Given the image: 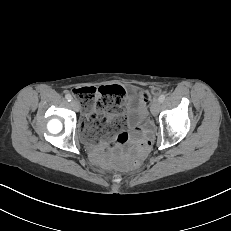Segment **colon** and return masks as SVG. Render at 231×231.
<instances>
[{"label": "colon", "mask_w": 231, "mask_h": 231, "mask_svg": "<svg viewBox=\"0 0 231 231\" xmlns=\"http://www.w3.org/2000/svg\"><path fill=\"white\" fill-rule=\"evenodd\" d=\"M73 93L79 99L83 109L91 110L97 108L108 112L110 110L117 111L122 108L125 100V90L118 85H110L95 88H77L73 90ZM144 99L147 105L151 102V95L144 94ZM91 123L115 136L118 141H125L128 138V132L126 131L127 119L125 115L121 113H113L108 116H99L94 113L90 115ZM131 169H138L140 167L139 161H132L129 163Z\"/></svg>", "instance_id": "colon-1"}]
</instances>
